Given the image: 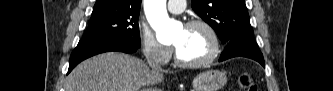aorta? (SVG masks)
I'll return each mask as SVG.
<instances>
[{
	"instance_id": "aorta-1",
	"label": "aorta",
	"mask_w": 333,
	"mask_h": 91,
	"mask_svg": "<svg viewBox=\"0 0 333 91\" xmlns=\"http://www.w3.org/2000/svg\"><path fill=\"white\" fill-rule=\"evenodd\" d=\"M144 11L159 42H171L178 24L171 20L166 10V0H144Z\"/></svg>"
}]
</instances>
